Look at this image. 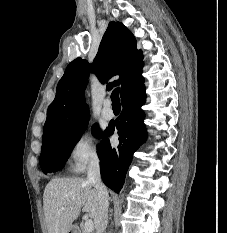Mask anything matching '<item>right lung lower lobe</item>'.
<instances>
[{
	"label": "right lung lower lobe",
	"mask_w": 227,
	"mask_h": 233,
	"mask_svg": "<svg viewBox=\"0 0 227 233\" xmlns=\"http://www.w3.org/2000/svg\"><path fill=\"white\" fill-rule=\"evenodd\" d=\"M145 101L144 86L121 100L122 114L115 125L109 126L104 132L103 141L97 150L103 182L116 193H119L124 184L133 153L146 140L144 113L141 110ZM115 127L119 135V146L112 148L108 137L114 132Z\"/></svg>",
	"instance_id": "right-lung-lower-lobe-1"
}]
</instances>
